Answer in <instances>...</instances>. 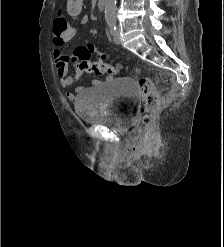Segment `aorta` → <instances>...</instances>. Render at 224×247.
I'll list each match as a JSON object with an SVG mask.
<instances>
[{"instance_id": "obj_1", "label": "aorta", "mask_w": 224, "mask_h": 247, "mask_svg": "<svg viewBox=\"0 0 224 247\" xmlns=\"http://www.w3.org/2000/svg\"><path fill=\"white\" fill-rule=\"evenodd\" d=\"M105 18L106 20H115L116 0H105Z\"/></svg>"}]
</instances>
